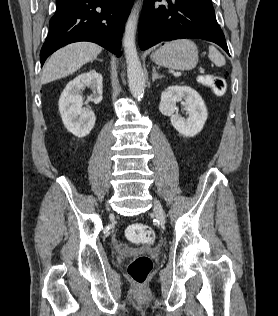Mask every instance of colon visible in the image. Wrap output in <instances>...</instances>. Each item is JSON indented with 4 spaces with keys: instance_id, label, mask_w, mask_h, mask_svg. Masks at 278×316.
Here are the masks:
<instances>
[{
    "instance_id": "1",
    "label": "colon",
    "mask_w": 278,
    "mask_h": 316,
    "mask_svg": "<svg viewBox=\"0 0 278 316\" xmlns=\"http://www.w3.org/2000/svg\"><path fill=\"white\" fill-rule=\"evenodd\" d=\"M200 82L209 87L216 96H223L226 92V80L224 77L214 74L203 75ZM126 237L134 243L149 246L155 239V233L151 227L145 224H131L126 229ZM153 262L146 255H139L131 258L127 264V272L132 281L143 287L152 272Z\"/></svg>"
}]
</instances>
